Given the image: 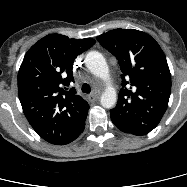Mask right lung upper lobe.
Returning <instances> with one entry per match:
<instances>
[{"label": "right lung upper lobe", "instance_id": "1", "mask_svg": "<svg viewBox=\"0 0 187 187\" xmlns=\"http://www.w3.org/2000/svg\"><path fill=\"white\" fill-rule=\"evenodd\" d=\"M92 38L50 34L26 53L18 73V95L33 129L49 143L64 145L85 124L89 105L72 87V62L92 47Z\"/></svg>", "mask_w": 187, "mask_h": 187}]
</instances>
